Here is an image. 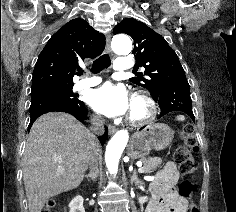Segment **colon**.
I'll use <instances>...</instances> for the list:
<instances>
[{
  "label": "colon",
  "instance_id": "colon-1",
  "mask_svg": "<svg viewBox=\"0 0 236 212\" xmlns=\"http://www.w3.org/2000/svg\"><path fill=\"white\" fill-rule=\"evenodd\" d=\"M181 144L176 149L174 154L175 162L178 164L180 171L184 175H189L195 172L198 161V146L195 141L193 128L186 125L180 136ZM180 193L188 199H193L196 195V185L191 180H184L180 186ZM54 201L49 200L43 212H52ZM187 212H199L197 205L190 203Z\"/></svg>",
  "mask_w": 236,
  "mask_h": 212
}]
</instances>
